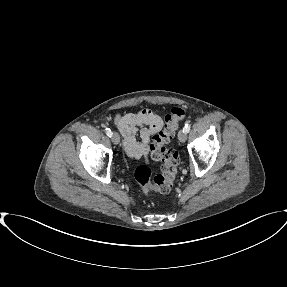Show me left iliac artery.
I'll use <instances>...</instances> for the list:
<instances>
[{
	"instance_id": "left-iliac-artery-1",
	"label": "left iliac artery",
	"mask_w": 287,
	"mask_h": 287,
	"mask_svg": "<svg viewBox=\"0 0 287 287\" xmlns=\"http://www.w3.org/2000/svg\"><path fill=\"white\" fill-rule=\"evenodd\" d=\"M183 130H184L186 133H188L189 130H190V125H189V124H185Z\"/></svg>"
}]
</instances>
